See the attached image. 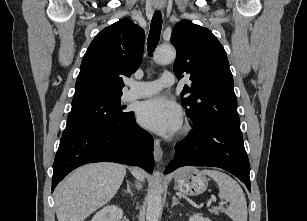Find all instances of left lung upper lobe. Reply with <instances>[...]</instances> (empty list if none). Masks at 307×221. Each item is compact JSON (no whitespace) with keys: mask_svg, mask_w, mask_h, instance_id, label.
<instances>
[{"mask_svg":"<svg viewBox=\"0 0 307 221\" xmlns=\"http://www.w3.org/2000/svg\"><path fill=\"white\" fill-rule=\"evenodd\" d=\"M178 79L190 75L181 102L197 129L217 127L242 137L234 82L226 52L212 32L191 21L178 22L171 35Z\"/></svg>","mask_w":307,"mask_h":221,"instance_id":"left-lung-upper-lobe-1","label":"left lung upper lobe"}]
</instances>
